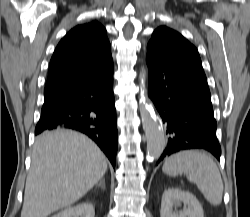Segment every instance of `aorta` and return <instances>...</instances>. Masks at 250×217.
Segmentation results:
<instances>
[{
    "mask_svg": "<svg viewBox=\"0 0 250 217\" xmlns=\"http://www.w3.org/2000/svg\"><path fill=\"white\" fill-rule=\"evenodd\" d=\"M147 77L145 68L139 74L140 85L143 86ZM140 115L147 140V158L158 159L166 146L162 123L157 119L152 105L141 98L139 103Z\"/></svg>",
    "mask_w": 250,
    "mask_h": 217,
    "instance_id": "obj_1",
    "label": "aorta"
}]
</instances>
